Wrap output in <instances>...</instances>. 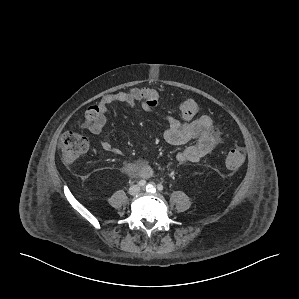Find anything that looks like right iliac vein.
Returning a JSON list of instances; mask_svg holds the SVG:
<instances>
[{
    "instance_id": "1",
    "label": "right iliac vein",
    "mask_w": 299,
    "mask_h": 299,
    "mask_svg": "<svg viewBox=\"0 0 299 299\" xmlns=\"http://www.w3.org/2000/svg\"><path fill=\"white\" fill-rule=\"evenodd\" d=\"M140 193V187L138 185H133L129 189V194L131 196H137Z\"/></svg>"
}]
</instances>
